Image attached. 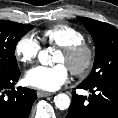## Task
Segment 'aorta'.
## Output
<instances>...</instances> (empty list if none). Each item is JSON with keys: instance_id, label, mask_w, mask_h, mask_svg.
Instances as JSON below:
<instances>
[{"instance_id": "aorta-1", "label": "aorta", "mask_w": 118, "mask_h": 118, "mask_svg": "<svg viewBox=\"0 0 118 118\" xmlns=\"http://www.w3.org/2000/svg\"><path fill=\"white\" fill-rule=\"evenodd\" d=\"M50 52H51V49L48 48L39 53L38 59L42 65H48L51 62L52 57L50 55ZM70 103H71V100L69 96L65 93H60L54 97V104L56 108L60 110L68 109L70 106Z\"/></svg>"}]
</instances>
